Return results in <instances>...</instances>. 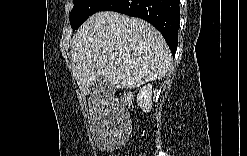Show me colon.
<instances>
[{
    "label": "colon",
    "mask_w": 247,
    "mask_h": 156,
    "mask_svg": "<svg viewBox=\"0 0 247 156\" xmlns=\"http://www.w3.org/2000/svg\"><path fill=\"white\" fill-rule=\"evenodd\" d=\"M119 101L121 102V104L123 105H128L131 101V94L129 92H122L119 96H118ZM117 113V111H114V115Z\"/></svg>",
    "instance_id": "colon-1"
}]
</instances>
